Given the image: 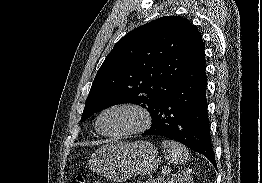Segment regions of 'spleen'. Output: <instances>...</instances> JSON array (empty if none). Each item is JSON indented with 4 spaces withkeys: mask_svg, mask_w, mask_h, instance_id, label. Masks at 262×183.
<instances>
[{
    "mask_svg": "<svg viewBox=\"0 0 262 183\" xmlns=\"http://www.w3.org/2000/svg\"><path fill=\"white\" fill-rule=\"evenodd\" d=\"M162 147L167 160L174 164L186 162L189 158V151L178 142L164 140L162 142Z\"/></svg>",
    "mask_w": 262,
    "mask_h": 183,
    "instance_id": "3e777b00",
    "label": "spleen"
}]
</instances>
